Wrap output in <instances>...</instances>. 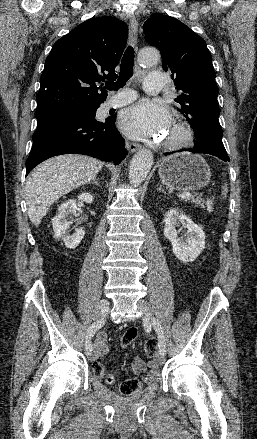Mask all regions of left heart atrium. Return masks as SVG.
Listing matches in <instances>:
<instances>
[{"mask_svg":"<svg viewBox=\"0 0 257 439\" xmlns=\"http://www.w3.org/2000/svg\"><path fill=\"white\" fill-rule=\"evenodd\" d=\"M170 123L169 111L161 104L148 100L124 109L119 117L121 130L135 138L159 137Z\"/></svg>","mask_w":257,"mask_h":439,"instance_id":"1","label":"left heart atrium"}]
</instances>
